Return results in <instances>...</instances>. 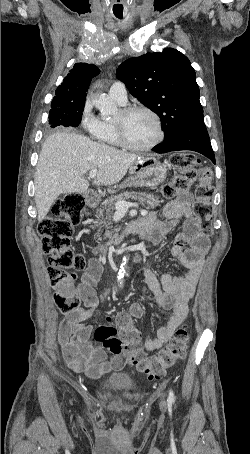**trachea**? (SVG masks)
Returning <instances> with one entry per match:
<instances>
[{"mask_svg":"<svg viewBox=\"0 0 250 454\" xmlns=\"http://www.w3.org/2000/svg\"><path fill=\"white\" fill-rule=\"evenodd\" d=\"M116 17H117V18H119V19H121V18H122V16H117V15H116Z\"/></svg>","mask_w":250,"mask_h":454,"instance_id":"trachea-1","label":"trachea"}]
</instances>
